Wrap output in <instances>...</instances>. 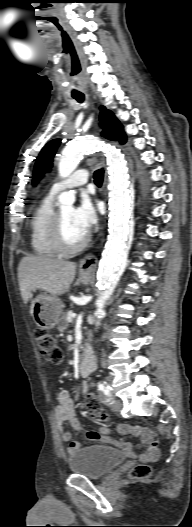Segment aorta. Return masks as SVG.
<instances>
[{
  "label": "aorta",
  "mask_w": 192,
  "mask_h": 527,
  "mask_svg": "<svg viewBox=\"0 0 192 527\" xmlns=\"http://www.w3.org/2000/svg\"><path fill=\"white\" fill-rule=\"evenodd\" d=\"M102 148V144L94 137H82L63 149L58 171L63 178L68 177L78 166L85 153L95 152ZM109 163V235L102 253L98 270V288L101 291L97 313H104L103 307L112 295L126 264L133 235L130 222V177L127 162L120 150L107 148ZM59 202L71 205L74 196L62 193Z\"/></svg>",
  "instance_id": "obj_1"
}]
</instances>
